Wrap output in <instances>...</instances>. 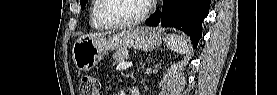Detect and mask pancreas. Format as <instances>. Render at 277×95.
<instances>
[{"instance_id":"1","label":"pancreas","mask_w":277,"mask_h":95,"mask_svg":"<svg viewBox=\"0 0 277 95\" xmlns=\"http://www.w3.org/2000/svg\"><path fill=\"white\" fill-rule=\"evenodd\" d=\"M129 54L127 50H118L113 55L114 65L127 61Z\"/></svg>"}]
</instances>
